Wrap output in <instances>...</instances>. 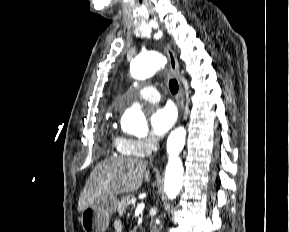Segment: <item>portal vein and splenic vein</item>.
<instances>
[{"mask_svg":"<svg viewBox=\"0 0 289 232\" xmlns=\"http://www.w3.org/2000/svg\"><path fill=\"white\" fill-rule=\"evenodd\" d=\"M131 204H132L133 206H135V205H136V200H135V199H132V200H131Z\"/></svg>","mask_w":289,"mask_h":232,"instance_id":"portal-vein-and-splenic-vein-1","label":"portal vein and splenic vein"}]
</instances>
